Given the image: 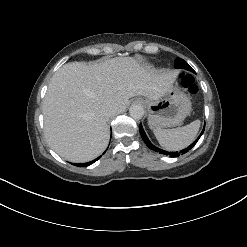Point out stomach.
Masks as SVG:
<instances>
[{"instance_id": "1", "label": "stomach", "mask_w": 247, "mask_h": 247, "mask_svg": "<svg viewBox=\"0 0 247 247\" xmlns=\"http://www.w3.org/2000/svg\"><path fill=\"white\" fill-rule=\"evenodd\" d=\"M153 130L180 125L191 112V101L177 84H172L159 100L142 99Z\"/></svg>"}]
</instances>
